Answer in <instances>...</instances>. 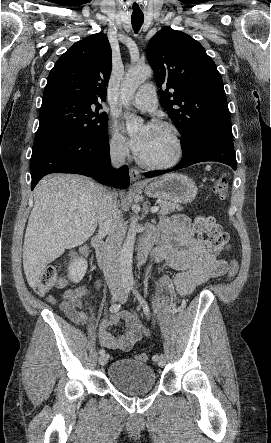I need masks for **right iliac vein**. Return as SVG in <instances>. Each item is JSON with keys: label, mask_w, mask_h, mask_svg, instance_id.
Returning a JSON list of instances; mask_svg holds the SVG:
<instances>
[{"label": "right iliac vein", "mask_w": 271, "mask_h": 443, "mask_svg": "<svg viewBox=\"0 0 271 443\" xmlns=\"http://www.w3.org/2000/svg\"><path fill=\"white\" fill-rule=\"evenodd\" d=\"M113 299L115 301H120V300H122V296L119 294H116L113 296ZM108 360H109V355L107 353H104L103 355H101L99 357V364L103 366L108 362Z\"/></svg>", "instance_id": "63e3f726"}]
</instances>
